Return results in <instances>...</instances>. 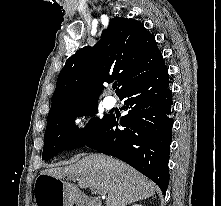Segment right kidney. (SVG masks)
Segmentation results:
<instances>
[{
	"mask_svg": "<svg viewBox=\"0 0 221 206\" xmlns=\"http://www.w3.org/2000/svg\"><path fill=\"white\" fill-rule=\"evenodd\" d=\"M132 206H142V205H140V204H134V205H132Z\"/></svg>",
	"mask_w": 221,
	"mask_h": 206,
	"instance_id": "1",
	"label": "right kidney"
}]
</instances>
